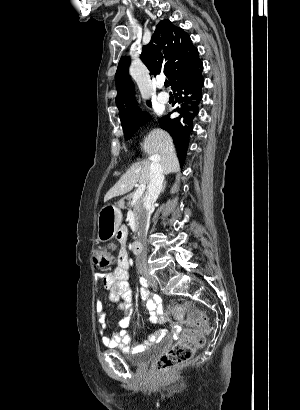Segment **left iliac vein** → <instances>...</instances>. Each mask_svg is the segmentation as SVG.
Segmentation results:
<instances>
[{"label": "left iliac vein", "instance_id": "1", "mask_svg": "<svg viewBox=\"0 0 300 410\" xmlns=\"http://www.w3.org/2000/svg\"><path fill=\"white\" fill-rule=\"evenodd\" d=\"M148 281H149V284L151 285V287L157 288V282L154 278L149 277Z\"/></svg>", "mask_w": 300, "mask_h": 410}]
</instances>
